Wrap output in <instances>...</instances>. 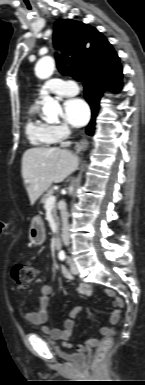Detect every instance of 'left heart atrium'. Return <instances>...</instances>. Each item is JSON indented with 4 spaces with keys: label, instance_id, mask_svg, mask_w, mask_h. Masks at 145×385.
Here are the masks:
<instances>
[{
    "label": "left heart atrium",
    "instance_id": "left-heart-atrium-1",
    "mask_svg": "<svg viewBox=\"0 0 145 385\" xmlns=\"http://www.w3.org/2000/svg\"><path fill=\"white\" fill-rule=\"evenodd\" d=\"M65 119L75 127L85 125L90 116L87 103L81 98H70L64 103Z\"/></svg>",
    "mask_w": 145,
    "mask_h": 385
}]
</instances>
